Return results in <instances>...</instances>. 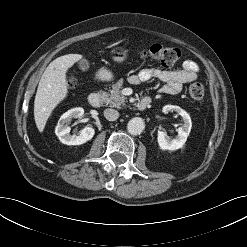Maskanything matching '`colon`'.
<instances>
[{
    "instance_id": "obj_1",
    "label": "colon",
    "mask_w": 247,
    "mask_h": 247,
    "mask_svg": "<svg viewBox=\"0 0 247 247\" xmlns=\"http://www.w3.org/2000/svg\"><path fill=\"white\" fill-rule=\"evenodd\" d=\"M141 57L151 59L164 67H171L175 65L180 59L179 49L171 46L161 44H154L141 52ZM69 85L74 86V81L70 80ZM189 96L195 100L200 101L203 99L205 90L201 83H193L188 89Z\"/></svg>"
}]
</instances>
